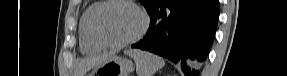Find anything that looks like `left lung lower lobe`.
I'll return each instance as SVG.
<instances>
[{
    "label": "left lung lower lobe",
    "mask_w": 287,
    "mask_h": 76,
    "mask_svg": "<svg viewBox=\"0 0 287 76\" xmlns=\"http://www.w3.org/2000/svg\"><path fill=\"white\" fill-rule=\"evenodd\" d=\"M218 18L219 0H165L150 13L145 37L132 47L181 64L187 76H199Z\"/></svg>",
    "instance_id": "0a47b994"
}]
</instances>
